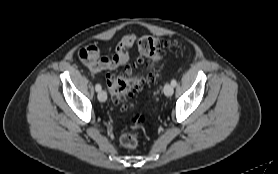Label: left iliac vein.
I'll list each match as a JSON object with an SVG mask.
<instances>
[{"mask_svg": "<svg viewBox=\"0 0 278 174\" xmlns=\"http://www.w3.org/2000/svg\"><path fill=\"white\" fill-rule=\"evenodd\" d=\"M174 92V89H173V86L169 83L165 84L164 86V94L167 96V97H170L172 96Z\"/></svg>", "mask_w": 278, "mask_h": 174, "instance_id": "1", "label": "left iliac vein"}]
</instances>
